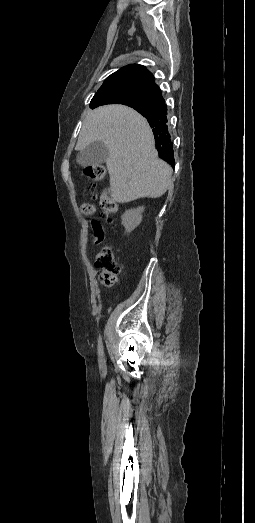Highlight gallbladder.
<instances>
[{
  "instance_id": "gallbladder-1",
  "label": "gallbladder",
  "mask_w": 255,
  "mask_h": 523,
  "mask_svg": "<svg viewBox=\"0 0 255 523\" xmlns=\"http://www.w3.org/2000/svg\"><path fill=\"white\" fill-rule=\"evenodd\" d=\"M109 158V150L104 142H91L89 146L77 154V164L80 166H101Z\"/></svg>"
}]
</instances>
